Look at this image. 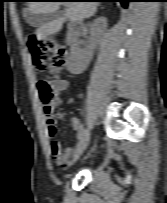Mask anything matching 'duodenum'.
Here are the masks:
<instances>
[{"mask_svg":"<svg viewBox=\"0 0 167 203\" xmlns=\"http://www.w3.org/2000/svg\"><path fill=\"white\" fill-rule=\"evenodd\" d=\"M83 26L80 21L71 20L68 22L67 32H66V42L69 46L73 45L76 39L82 33Z\"/></svg>","mask_w":167,"mask_h":203,"instance_id":"1","label":"duodenum"}]
</instances>
